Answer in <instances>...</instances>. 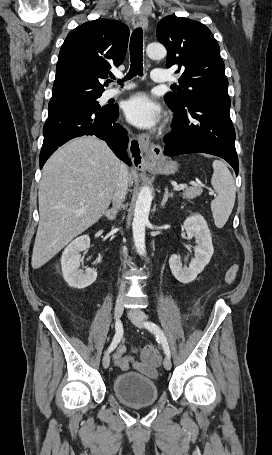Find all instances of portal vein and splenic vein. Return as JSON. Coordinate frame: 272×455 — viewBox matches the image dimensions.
I'll return each instance as SVG.
<instances>
[{
  "instance_id": "obj_1",
  "label": "portal vein and splenic vein",
  "mask_w": 272,
  "mask_h": 455,
  "mask_svg": "<svg viewBox=\"0 0 272 455\" xmlns=\"http://www.w3.org/2000/svg\"><path fill=\"white\" fill-rule=\"evenodd\" d=\"M186 187H187L186 184H181V185H177L176 187H174V190L175 191H180V190H183Z\"/></svg>"
}]
</instances>
